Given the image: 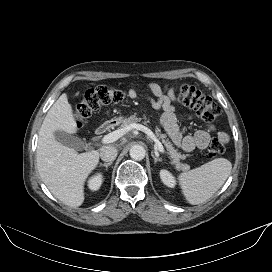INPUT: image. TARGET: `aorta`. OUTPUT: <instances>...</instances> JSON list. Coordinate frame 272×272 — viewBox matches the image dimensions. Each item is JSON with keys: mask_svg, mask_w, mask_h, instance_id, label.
Masks as SVG:
<instances>
[{"mask_svg": "<svg viewBox=\"0 0 272 272\" xmlns=\"http://www.w3.org/2000/svg\"><path fill=\"white\" fill-rule=\"evenodd\" d=\"M130 156L133 160L140 161L144 159L146 151L143 146L141 145H134L130 149Z\"/></svg>", "mask_w": 272, "mask_h": 272, "instance_id": "aorta-1", "label": "aorta"}]
</instances>
